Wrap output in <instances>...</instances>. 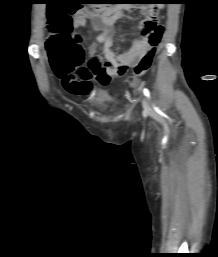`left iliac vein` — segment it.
<instances>
[{"instance_id": "4c4485c4", "label": "left iliac vein", "mask_w": 218, "mask_h": 257, "mask_svg": "<svg viewBox=\"0 0 218 257\" xmlns=\"http://www.w3.org/2000/svg\"><path fill=\"white\" fill-rule=\"evenodd\" d=\"M142 106H143V109H144V112L147 113V114H151L152 113V109L151 107L149 106L147 100L145 98H142Z\"/></svg>"}]
</instances>
